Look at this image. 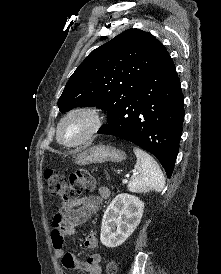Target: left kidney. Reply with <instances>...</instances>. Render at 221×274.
I'll return each instance as SVG.
<instances>
[{"instance_id": "5707ae66", "label": "left kidney", "mask_w": 221, "mask_h": 274, "mask_svg": "<svg viewBox=\"0 0 221 274\" xmlns=\"http://www.w3.org/2000/svg\"><path fill=\"white\" fill-rule=\"evenodd\" d=\"M144 203L127 193L117 195L104 212L100 241L109 248H115L126 241L139 225Z\"/></svg>"}]
</instances>
